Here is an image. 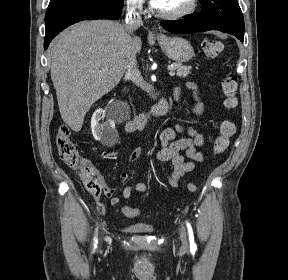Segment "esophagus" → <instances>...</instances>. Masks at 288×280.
Returning <instances> with one entry per match:
<instances>
[{"label":"esophagus","instance_id":"obj_1","mask_svg":"<svg viewBox=\"0 0 288 280\" xmlns=\"http://www.w3.org/2000/svg\"><path fill=\"white\" fill-rule=\"evenodd\" d=\"M154 33H156L157 35H159V32L156 30V28H153Z\"/></svg>","mask_w":288,"mask_h":280}]
</instances>
